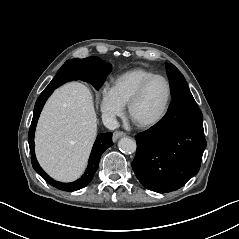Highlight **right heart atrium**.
Returning <instances> with one entry per match:
<instances>
[{
    "mask_svg": "<svg viewBox=\"0 0 239 239\" xmlns=\"http://www.w3.org/2000/svg\"><path fill=\"white\" fill-rule=\"evenodd\" d=\"M100 110L104 118L111 120L120 116L124 107L114 97L110 87H102L100 89Z\"/></svg>",
    "mask_w": 239,
    "mask_h": 239,
    "instance_id": "d8ad5b80",
    "label": "right heart atrium"
}]
</instances>
